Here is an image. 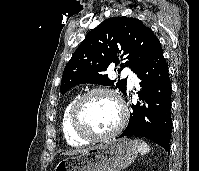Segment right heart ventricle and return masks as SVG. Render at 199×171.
<instances>
[{"label": "right heart ventricle", "instance_id": "e07e8e85", "mask_svg": "<svg viewBox=\"0 0 199 171\" xmlns=\"http://www.w3.org/2000/svg\"><path fill=\"white\" fill-rule=\"evenodd\" d=\"M75 99L76 98H72L66 103L62 111L60 126H61L62 135L67 144L71 146H81L86 144L87 140L82 137H79L73 132L70 120L71 108Z\"/></svg>", "mask_w": 199, "mask_h": 171}]
</instances>
